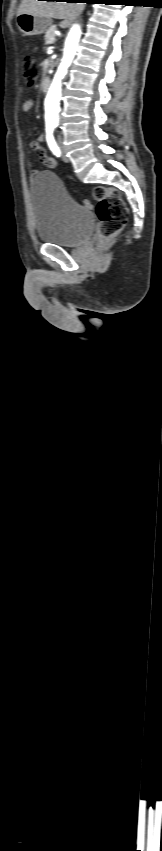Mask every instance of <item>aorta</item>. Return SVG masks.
<instances>
[{"mask_svg": "<svg viewBox=\"0 0 162 851\" xmlns=\"http://www.w3.org/2000/svg\"><path fill=\"white\" fill-rule=\"evenodd\" d=\"M81 33L82 32L80 26L74 25L66 38L62 61L57 69V72L55 73V76L45 99V119L47 122L58 121L62 92V80L67 74V70L74 59L76 47L79 43Z\"/></svg>", "mask_w": 162, "mask_h": 851, "instance_id": "762f6f07", "label": "aorta"}]
</instances>
